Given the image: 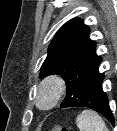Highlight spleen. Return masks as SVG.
<instances>
[{
  "instance_id": "3e777b00",
  "label": "spleen",
  "mask_w": 117,
  "mask_h": 131,
  "mask_svg": "<svg viewBox=\"0 0 117 131\" xmlns=\"http://www.w3.org/2000/svg\"><path fill=\"white\" fill-rule=\"evenodd\" d=\"M80 131H108L103 119L92 110H84L76 117Z\"/></svg>"
}]
</instances>
